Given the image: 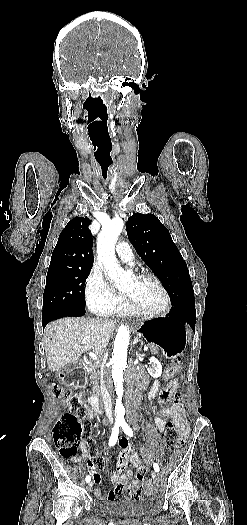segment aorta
<instances>
[{
    "label": "aorta",
    "mask_w": 247,
    "mask_h": 525,
    "mask_svg": "<svg viewBox=\"0 0 247 525\" xmlns=\"http://www.w3.org/2000/svg\"><path fill=\"white\" fill-rule=\"evenodd\" d=\"M123 225L122 219L117 217L112 219L103 226L97 240L98 259L102 263L108 277L115 282L118 288L123 287L129 279V274L119 266L115 255V242L123 229ZM129 340V328L121 324L117 330L111 359L112 378L117 394L115 406V418L117 422H123L125 415V409L122 404L123 371L127 365Z\"/></svg>",
    "instance_id": "aorta-1"
}]
</instances>
